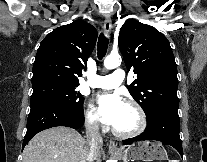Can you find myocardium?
Masks as SVG:
<instances>
[{
	"label": "myocardium",
	"instance_id": "obj_1",
	"mask_svg": "<svg viewBox=\"0 0 207 162\" xmlns=\"http://www.w3.org/2000/svg\"><path fill=\"white\" fill-rule=\"evenodd\" d=\"M124 103L132 106L136 110V112L138 114V118H139V123H138L137 127L131 131L124 132V131H120V130L112 127V132L114 133V135H116L117 137H120V138L135 137V136L139 135L140 133H142L144 131V129L146 128L147 116H146V113H145L144 109L142 108V106L136 100L129 98V99H126Z\"/></svg>",
	"mask_w": 207,
	"mask_h": 162
}]
</instances>
